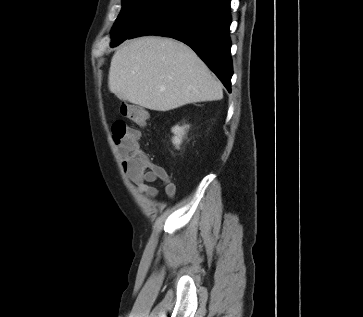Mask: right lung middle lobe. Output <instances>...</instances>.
Segmentation results:
<instances>
[{"label":"right lung middle lobe","mask_w":363,"mask_h":317,"mask_svg":"<svg viewBox=\"0 0 363 317\" xmlns=\"http://www.w3.org/2000/svg\"><path fill=\"white\" fill-rule=\"evenodd\" d=\"M178 0H122V10L112 28L111 46L127 39L137 28Z\"/></svg>","instance_id":"obj_1"}]
</instances>
